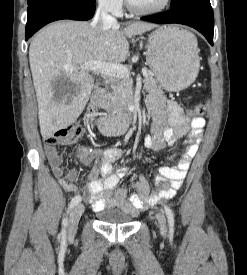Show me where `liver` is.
Segmentation results:
<instances>
[{
  "label": "liver",
  "instance_id": "liver-1",
  "mask_svg": "<svg viewBox=\"0 0 247 275\" xmlns=\"http://www.w3.org/2000/svg\"><path fill=\"white\" fill-rule=\"evenodd\" d=\"M156 24L134 22L99 31L87 22L64 20L41 30L31 41L29 62L38 103L40 132L44 139L74 123L91 95L94 79L81 65L101 61L119 64L129 56L126 37L140 35ZM65 66L72 67V71ZM65 77L71 93L57 94L52 84Z\"/></svg>",
  "mask_w": 247,
  "mask_h": 275
}]
</instances>
